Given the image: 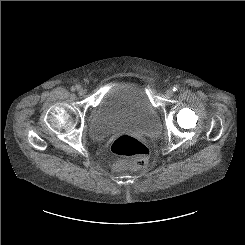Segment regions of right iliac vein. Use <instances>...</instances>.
<instances>
[{"label": "right iliac vein", "instance_id": "1", "mask_svg": "<svg viewBox=\"0 0 245 245\" xmlns=\"http://www.w3.org/2000/svg\"><path fill=\"white\" fill-rule=\"evenodd\" d=\"M78 93H79L80 96H84L87 93V90L85 88H83V87H80L78 89Z\"/></svg>", "mask_w": 245, "mask_h": 245}]
</instances>
